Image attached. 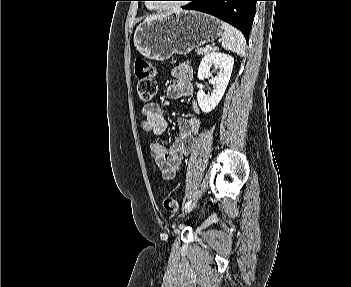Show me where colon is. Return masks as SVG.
<instances>
[{
  "label": "colon",
  "mask_w": 351,
  "mask_h": 287,
  "mask_svg": "<svg viewBox=\"0 0 351 287\" xmlns=\"http://www.w3.org/2000/svg\"><path fill=\"white\" fill-rule=\"evenodd\" d=\"M134 71L138 79L137 92L139 99L143 103H150L157 93L155 68L145 58L137 57L134 62ZM163 206L170 213H176L179 209V204L173 197L165 198Z\"/></svg>",
  "instance_id": "5ec220e1"
}]
</instances>
